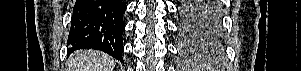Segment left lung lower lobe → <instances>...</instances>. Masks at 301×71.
Instances as JSON below:
<instances>
[{
  "mask_svg": "<svg viewBox=\"0 0 301 71\" xmlns=\"http://www.w3.org/2000/svg\"><path fill=\"white\" fill-rule=\"evenodd\" d=\"M181 32L189 43L200 47H218L219 18L216 0H184L180 3Z\"/></svg>",
  "mask_w": 301,
  "mask_h": 71,
  "instance_id": "0a47b994",
  "label": "left lung lower lobe"
}]
</instances>
